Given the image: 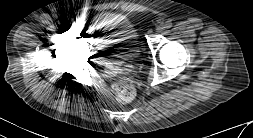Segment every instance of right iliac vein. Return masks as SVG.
<instances>
[{
    "label": "right iliac vein",
    "mask_w": 253,
    "mask_h": 138,
    "mask_svg": "<svg viewBox=\"0 0 253 138\" xmlns=\"http://www.w3.org/2000/svg\"><path fill=\"white\" fill-rule=\"evenodd\" d=\"M71 29H72L73 31H77V30L79 29V26H78L77 24H73V25L71 26Z\"/></svg>",
    "instance_id": "obj_1"
}]
</instances>
